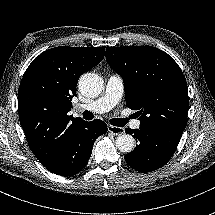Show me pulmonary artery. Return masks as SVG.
<instances>
[{
    "instance_id": "e3ab8cb5",
    "label": "pulmonary artery",
    "mask_w": 215,
    "mask_h": 215,
    "mask_svg": "<svg viewBox=\"0 0 215 215\" xmlns=\"http://www.w3.org/2000/svg\"><path fill=\"white\" fill-rule=\"evenodd\" d=\"M123 91L124 86L122 78L117 75L109 76L106 83L105 92L103 93V95L92 104L77 105L75 107V110L77 112L83 111H92L95 113L106 112L120 102L123 96ZM129 128L132 131H139L142 128V121L139 118H132L129 121Z\"/></svg>"
}]
</instances>
